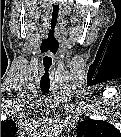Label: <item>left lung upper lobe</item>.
Here are the masks:
<instances>
[{
    "instance_id": "1",
    "label": "left lung upper lobe",
    "mask_w": 121,
    "mask_h": 137,
    "mask_svg": "<svg viewBox=\"0 0 121 137\" xmlns=\"http://www.w3.org/2000/svg\"><path fill=\"white\" fill-rule=\"evenodd\" d=\"M78 133L82 136H105V135H118L119 132L111 124L100 121L86 119L80 122L77 126Z\"/></svg>"
}]
</instances>
